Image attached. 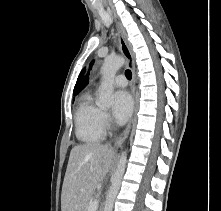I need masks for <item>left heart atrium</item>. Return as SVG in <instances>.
I'll list each match as a JSON object with an SVG mask.
<instances>
[{
	"label": "left heart atrium",
	"instance_id": "obj_1",
	"mask_svg": "<svg viewBox=\"0 0 221 211\" xmlns=\"http://www.w3.org/2000/svg\"><path fill=\"white\" fill-rule=\"evenodd\" d=\"M133 110V101L127 91H117L114 94L112 113L118 124H123L130 117Z\"/></svg>",
	"mask_w": 221,
	"mask_h": 211
}]
</instances>
